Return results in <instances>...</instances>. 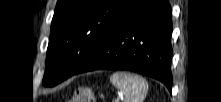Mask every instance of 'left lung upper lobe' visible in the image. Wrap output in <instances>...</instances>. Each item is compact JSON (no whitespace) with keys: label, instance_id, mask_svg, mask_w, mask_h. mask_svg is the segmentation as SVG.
Instances as JSON below:
<instances>
[{"label":"left lung upper lobe","instance_id":"5c2ea615","mask_svg":"<svg viewBox=\"0 0 221 102\" xmlns=\"http://www.w3.org/2000/svg\"><path fill=\"white\" fill-rule=\"evenodd\" d=\"M132 0H58L43 85L72 76L89 58Z\"/></svg>","mask_w":221,"mask_h":102}]
</instances>
